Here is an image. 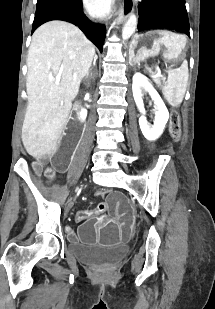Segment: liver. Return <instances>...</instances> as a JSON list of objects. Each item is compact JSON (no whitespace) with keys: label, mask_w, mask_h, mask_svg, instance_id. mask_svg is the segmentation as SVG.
<instances>
[{"label":"liver","mask_w":215,"mask_h":309,"mask_svg":"<svg viewBox=\"0 0 215 309\" xmlns=\"http://www.w3.org/2000/svg\"><path fill=\"white\" fill-rule=\"evenodd\" d=\"M94 54V44L70 22L50 20L35 30L27 56L28 106L21 134L32 157L56 152L72 100Z\"/></svg>","instance_id":"6515ba94"}]
</instances>
